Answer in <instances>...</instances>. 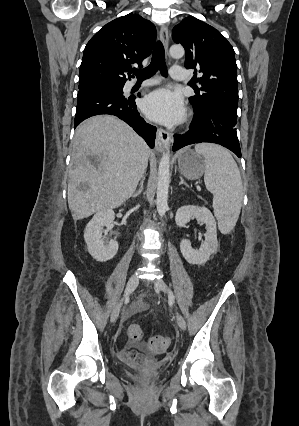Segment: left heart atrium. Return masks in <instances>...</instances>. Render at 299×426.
I'll return each instance as SVG.
<instances>
[{
  "instance_id": "left-heart-atrium-1",
  "label": "left heart atrium",
  "mask_w": 299,
  "mask_h": 426,
  "mask_svg": "<svg viewBox=\"0 0 299 426\" xmlns=\"http://www.w3.org/2000/svg\"><path fill=\"white\" fill-rule=\"evenodd\" d=\"M143 111L151 120L165 125L178 124L185 117L181 96L165 88L151 92L144 99Z\"/></svg>"
}]
</instances>
